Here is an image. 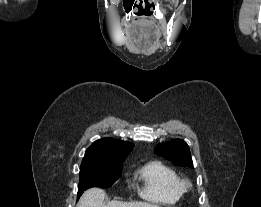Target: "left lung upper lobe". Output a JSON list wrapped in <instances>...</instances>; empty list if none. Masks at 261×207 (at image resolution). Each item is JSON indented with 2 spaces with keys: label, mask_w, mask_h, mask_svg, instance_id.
<instances>
[{
  "label": "left lung upper lobe",
  "mask_w": 261,
  "mask_h": 207,
  "mask_svg": "<svg viewBox=\"0 0 261 207\" xmlns=\"http://www.w3.org/2000/svg\"><path fill=\"white\" fill-rule=\"evenodd\" d=\"M154 152L180 166L193 167L187 143L181 139L158 144Z\"/></svg>",
  "instance_id": "left-lung-upper-lobe-1"
}]
</instances>
